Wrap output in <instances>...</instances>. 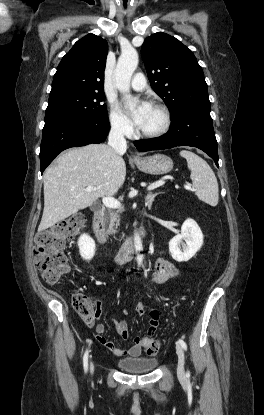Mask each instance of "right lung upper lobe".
Masks as SVG:
<instances>
[{"instance_id":"obj_1","label":"right lung upper lobe","mask_w":264,"mask_h":415,"mask_svg":"<svg viewBox=\"0 0 264 415\" xmlns=\"http://www.w3.org/2000/svg\"><path fill=\"white\" fill-rule=\"evenodd\" d=\"M107 42L88 34L62 58L54 75L50 96L67 91L104 92Z\"/></svg>"}]
</instances>
